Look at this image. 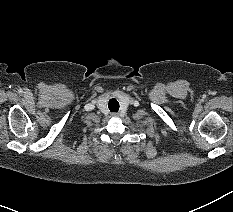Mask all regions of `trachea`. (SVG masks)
<instances>
[{
    "label": "trachea",
    "mask_w": 233,
    "mask_h": 212,
    "mask_svg": "<svg viewBox=\"0 0 233 212\" xmlns=\"http://www.w3.org/2000/svg\"><path fill=\"white\" fill-rule=\"evenodd\" d=\"M108 107L111 112H117L119 110V102L116 99H110Z\"/></svg>",
    "instance_id": "3493384b"
}]
</instances>
